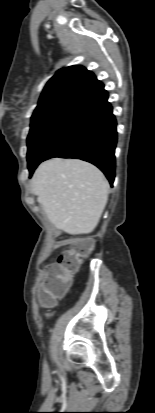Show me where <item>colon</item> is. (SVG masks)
<instances>
[{
	"instance_id": "obj_1",
	"label": "colon",
	"mask_w": 155,
	"mask_h": 413,
	"mask_svg": "<svg viewBox=\"0 0 155 413\" xmlns=\"http://www.w3.org/2000/svg\"><path fill=\"white\" fill-rule=\"evenodd\" d=\"M92 247L91 240H78L59 256L57 263L49 269L44 282L43 301L46 304H52L62 294L78 270L81 259L91 252Z\"/></svg>"
}]
</instances>
